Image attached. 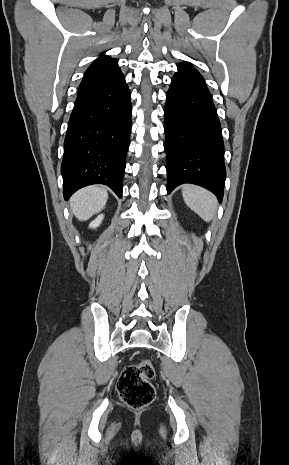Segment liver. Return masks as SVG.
<instances>
[{
  "label": "liver",
  "mask_w": 289,
  "mask_h": 465,
  "mask_svg": "<svg viewBox=\"0 0 289 465\" xmlns=\"http://www.w3.org/2000/svg\"><path fill=\"white\" fill-rule=\"evenodd\" d=\"M108 193L102 186H89L76 192L70 199L73 214L81 221L88 220L106 204Z\"/></svg>",
  "instance_id": "6515ba94"
}]
</instances>
